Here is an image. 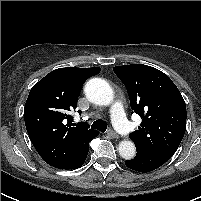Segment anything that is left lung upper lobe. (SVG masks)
<instances>
[{
  "label": "left lung upper lobe",
  "mask_w": 201,
  "mask_h": 201,
  "mask_svg": "<svg viewBox=\"0 0 201 201\" xmlns=\"http://www.w3.org/2000/svg\"><path fill=\"white\" fill-rule=\"evenodd\" d=\"M131 108L143 118L130 134L137 152H173L186 131V105L176 85L160 70L142 64L116 66Z\"/></svg>",
  "instance_id": "obj_1"
}]
</instances>
